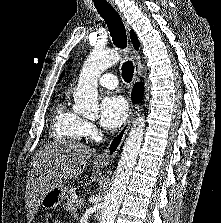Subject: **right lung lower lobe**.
I'll use <instances>...</instances> for the list:
<instances>
[{
    "label": "right lung lower lobe",
    "mask_w": 221,
    "mask_h": 223,
    "mask_svg": "<svg viewBox=\"0 0 221 223\" xmlns=\"http://www.w3.org/2000/svg\"><path fill=\"white\" fill-rule=\"evenodd\" d=\"M144 86L142 83H136L131 94L133 102H139L142 99Z\"/></svg>",
    "instance_id": "obj_1"
}]
</instances>
